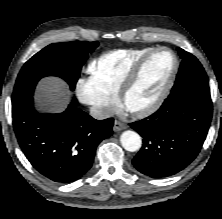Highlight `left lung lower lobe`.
Masks as SVG:
<instances>
[{
    "mask_svg": "<svg viewBox=\"0 0 222 219\" xmlns=\"http://www.w3.org/2000/svg\"><path fill=\"white\" fill-rule=\"evenodd\" d=\"M211 117V98L193 92L170 94L157 112L130 123L143 137V146L132 160L134 167L152 178L181 171L198 155Z\"/></svg>",
    "mask_w": 222,
    "mask_h": 219,
    "instance_id": "1",
    "label": "left lung lower lobe"
}]
</instances>
